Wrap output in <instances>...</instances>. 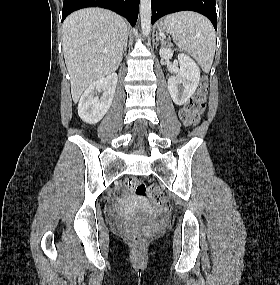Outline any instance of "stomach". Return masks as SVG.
<instances>
[{
	"mask_svg": "<svg viewBox=\"0 0 280 285\" xmlns=\"http://www.w3.org/2000/svg\"><path fill=\"white\" fill-rule=\"evenodd\" d=\"M158 30L161 31V32H169V29L168 27L166 26L165 23H161L158 27Z\"/></svg>",
	"mask_w": 280,
	"mask_h": 285,
	"instance_id": "stomach-1",
	"label": "stomach"
}]
</instances>
